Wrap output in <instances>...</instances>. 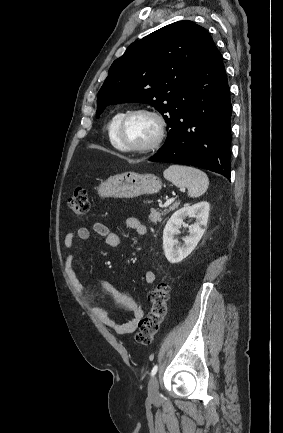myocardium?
Here are the masks:
<instances>
[{"label":"myocardium","mask_w":283,"mask_h":433,"mask_svg":"<svg viewBox=\"0 0 283 433\" xmlns=\"http://www.w3.org/2000/svg\"><path fill=\"white\" fill-rule=\"evenodd\" d=\"M137 114H148L155 118L159 125V133L156 139L149 145L144 147H133L128 145L123 139V130L127 122L131 117ZM168 131V123L165 116L158 110L151 107H138L134 109H130L124 113V115L119 120L115 137L118 143L119 148L122 151L135 153L140 155H150L156 153L163 145Z\"/></svg>","instance_id":"f54148a6"}]
</instances>
